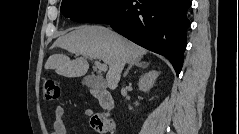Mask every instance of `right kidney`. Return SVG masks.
<instances>
[{"instance_id": "right-kidney-1", "label": "right kidney", "mask_w": 239, "mask_h": 134, "mask_svg": "<svg viewBox=\"0 0 239 134\" xmlns=\"http://www.w3.org/2000/svg\"><path fill=\"white\" fill-rule=\"evenodd\" d=\"M158 76L159 72L155 70L143 74L138 82L139 89L143 92H148L153 87Z\"/></svg>"}]
</instances>
